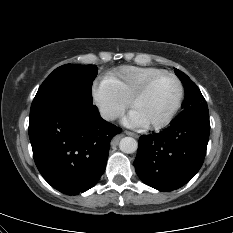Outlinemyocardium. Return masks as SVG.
Wrapping results in <instances>:
<instances>
[{
    "instance_id": "obj_1",
    "label": "myocardium",
    "mask_w": 233,
    "mask_h": 233,
    "mask_svg": "<svg viewBox=\"0 0 233 233\" xmlns=\"http://www.w3.org/2000/svg\"><path fill=\"white\" fill-rule=\"evenodd\" d=\"M163 77L172 78L176 82V84L178 86V91H179L178 92V97H177L175 105L173 106V108L171 109V111L169 112V114L163 120H161L159 122L148 123L146 125V127H148V128L161 129V128L167 126L174 119L175 115L177 114V112L181 108L182 103H183V99H184V86H183V83L180 80V78L176 74H174L172 72L163 71V72H161V73L153 76L149 80H147L132 95V97L128 101V108H129L130 111H132L134 105L149 91V89L152 87V85L156 81H158L159 79H161Z\"/></svg>"
}]
</instances>
